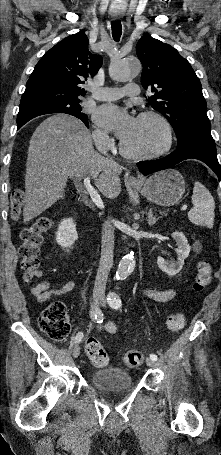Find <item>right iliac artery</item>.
<instances>
[{
	"label": "right iliac artery",
	"mask_w": 221,
	"mask_h": 455,
	"mask_svg": "<svg viewBox=\"0 0 221 455\" xmlns=\"http://www.w3.org/2000/svg\"><path fill=\"white\" fill-rule=\"evenodd\" d=\"M91 318L96 321L97 323H102L103 322V318H104V315H103V312L102 310L99 308L98 305H94L92 307V310H91V314H90ZM83 338V333L82 332H79L76 337H75V343H80L81 340Z\"/></svg>",
	"instance_id": "right-iliac-artery-1"
}]
</instances>
